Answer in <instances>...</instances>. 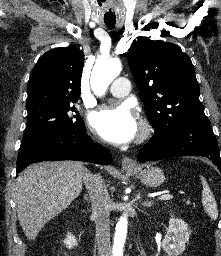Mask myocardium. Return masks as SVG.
Returning a JSON list of instances; mask_svg holds the SVG:
<instances>
[{
  "instance_id": "myocardium-1",
  "label": "myocardium",
  "mask_w": 221,
  "mask_h": 256,
  "mask_svg": "<svg viewBox=\"0 0 221 256\" xmlns=\"http://www.w3.org/2000/svg\"><path fill=\"white\" fill-rule=\"evenodd\" d=\"M154 132L152 124L147 119H141L140 133L138 136L139 142H144L151 137Z\"/></svg>"
}]
</instances>
